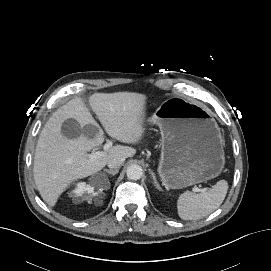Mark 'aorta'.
Listing matches in <instances>:
<instances>
[{"label": "aorta", "mask_w": 271, "mask_h": 271, "mask_svg": "<svg viewBox=\"0 0 271 271\" xmlns=\"http://www.w3.org/2000/svg\"><path fill=\"white\" fill-rule=\"evenodd\" d=\"M143 169L140 165L132 164L127 167L126 175L130 180H138L142 177Z\"/></svg>", "instance_id": "aorta-1"}]
</instances>
